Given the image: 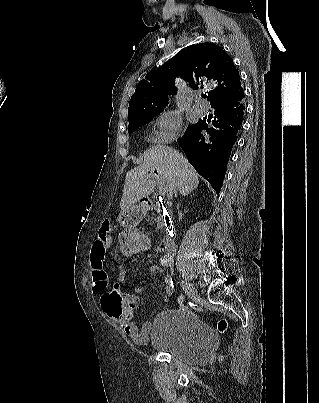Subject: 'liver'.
<instances>
[{
	"mask_svg": "<svg viewBox=\"0 0 319 403\" xmlns=\"http://www.w3.org/2000/svg\"><path fill=\"white\" fill-rule=\"evenodd\" d=\"M143 162L127 172L120 202L122 210L128 209L144 197L150 195L156 186L154 179H149L154 171L167 187L169 196L178 189L186 195L199 184V176L188 160L177 150L163 145L150 147L144 152Z\"/></svg>",
	"mask_w": 319,
	"mask_h": 403,
	"instance_id": "1",
	"label": "liver"
}]
</instances>
